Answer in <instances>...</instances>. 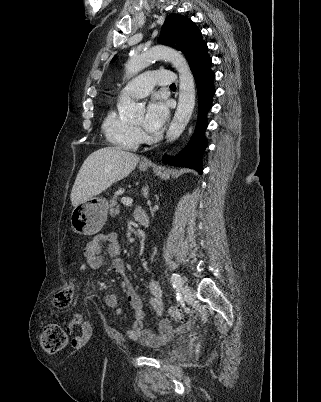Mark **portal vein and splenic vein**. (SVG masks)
Returning <instances> with one entry per match:
<instances>
[{
  "label": "portal vein and splenic vein",
  "instance_id": "1",
  "mask_svg": "<svg viewBox=\"0 0 321 402\" xmlns=\"http://www.w3.org/2000/svg\"><path fill=\"white\" fill-rule=\"evenodd\" d=\"M121 202H122L123 204H126V205H131L132 202H133V200H132L131 198H129V197H123V198L121 199Z\"/></svg>",
  "mask_w": 321,
  "mask_h": 402
}]
</instances>
